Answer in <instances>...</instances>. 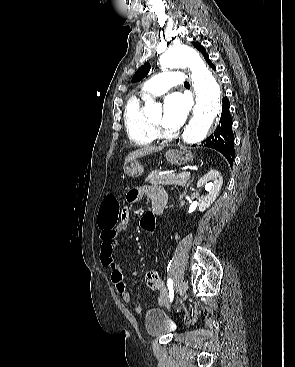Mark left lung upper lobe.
I'll return each mask as SVG.
<instances>
[{"mask_svg": "<svg viewBox=\"0 0 295 367\" xmlns=\"http://www.w3.org/2000/svg\"><path fill=\"white\" fill-rule=\"evenodd\" d=\"M192 44L194 45V47H196L199 51L202 52V54H204V57L207 61L209 60L208 54L206 53V50L203 46H201L200 43L198 42H192ZM150 71V65L148 63L144 64L143 66H141L137 72L134 74L133 78H132V82H136L141 80L143 77H145L148 72Z\"/></svg>", "mask_w": 295, "mask_h": 367, "instance_id": "5c2ea615", "label": "left lung upper lobe"}]
</instances>
